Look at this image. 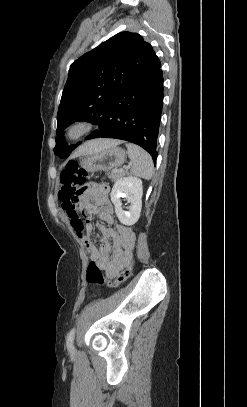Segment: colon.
<instances>
[{"mask_svg": "<svg viewBox=\"0 0 247 407\" xmlns=\"http://www.w3.org/2000/svg\"><path fill=\"white\" fill-rule=\"evenodd\" d=\"M87 173L80 168L77 161H69L61 172V188L59 198L63 202L78 203L83 194ZM133 264L130 263L115 280L107 279L99 265L91 261L86 269V281L92 285L117 287L125 282L132 273Z\"/></svg>", "mask_w": 247, "mask_h": 407, "instance_id": "obj_1", "label": "colon"}]
</instances>
